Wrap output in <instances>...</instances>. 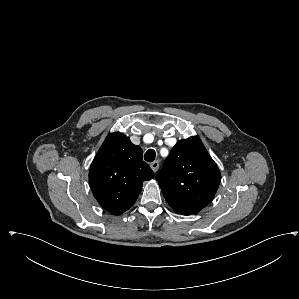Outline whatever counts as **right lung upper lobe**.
Wrapping results in <instances>:
<instances>
[{
	"label": "right lung upper lobe",
	"mask_w": 299,
	"mask_h": 299,
	"mask_svg": "<svg viewBox=\"0 0 299 299\" xmlns=\"http://www.w3.org/2000/svg\"><path fill=\"white\" fill-rule=\"evenodd\" d=\"M139 146L117 132L107 136L89 171L94 197L108 212L119 215L136 201L144 181L154 177Z\"/></svg>",
	"instance_id": "right-lung-upper-lobe-1"
}]
</instances>
